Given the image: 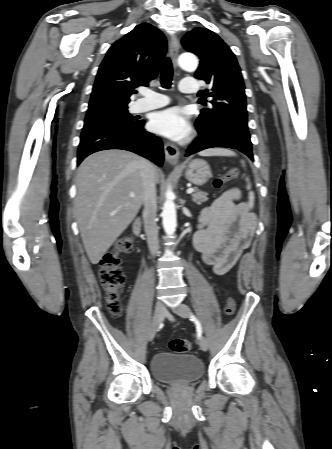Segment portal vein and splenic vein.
<instances>
[{"mask_svg": "<svg viewBox=\"0 0 332 449\" xmlns=\"http://www.w3.org/2000/svg\"><path fill=\"white\" fill-rule=\"evenodd\" d=\"M193 192H194V189H193V188L187 189V194H191V193H193ZM129 196H130V197H135V194H134V193H130Z\"/></svg>", "mask_w": 332, "mask_h": 449, "instance_id": "1", "label": "portal vein and splenic vein"}]
</instances>
